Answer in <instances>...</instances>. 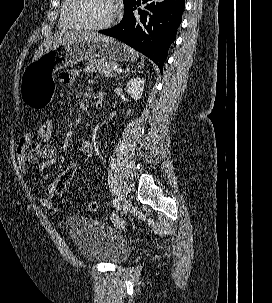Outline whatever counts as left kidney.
I'll return each mask as SVG.
<instances>
[{"label": "left kidney", "instance_id": "left-kidney-1", "mask_svg": "<svg viewBox=\"0 0 272 303\" xmlns=\"http://www.w3.org/2000/svg\"><path fill=\"white\" fill-rule=\"evenodd\" d=\"M145 85V79L144 78H133L127 83V92L131 96L132 99L138 100L141 98L144 90ZM131 113V110L129 109L126 112V116H129Z\"/></svg>", "mask_w": 272, "mask_h": 303}]
</instances>
